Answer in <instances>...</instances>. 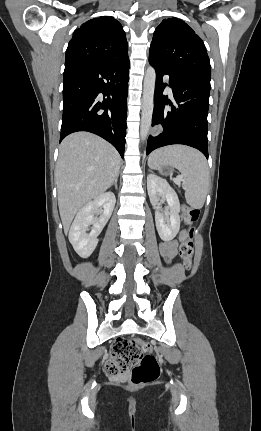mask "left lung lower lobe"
<instances>
[{"label":"left lung lower lobe","instance_id":"0a47b994","mask_svg":"<svg viewBox=\"0 0 261 431\" xmlns=\"http://www.w3.org/2000/svg\"><path fill=\"white\" fill-rule=\"evenodd\" d=\"M156 70L152 126H159L157 135H150L146 154L172 144H184L200 150L208 159L207 115L209 108L210 80L172 69L149 57ZM169 75L174 101L163 95L167 84L163 76ZM171 106L170 109L165 107Z\"/></svg>","mask_w":261,"mask_h":431}]
</instances>
